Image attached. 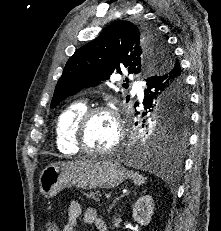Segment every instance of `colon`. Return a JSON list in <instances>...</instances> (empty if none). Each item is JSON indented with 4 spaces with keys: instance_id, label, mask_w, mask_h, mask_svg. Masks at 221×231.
<instances>
[{
    "instance_id": "5ec220e1",
    "label": "colon",
    "mask_w": 221,
    "mask_h": 231,
    "mask_svg": "<svg viewBox=\"0 0 221 231\" xmlns=\"http://www.w3.org/2000/svg\"><path fill=\"white\" fill-rule=\"evenodd\" d=\"M46 231H59V225L55 220H50L46 224Z\"/></svg>"
}]
</instances>
